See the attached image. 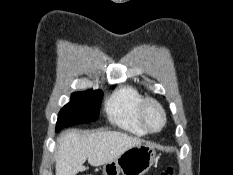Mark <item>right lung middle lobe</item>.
Here are the masks:
<instances>
[{
	"mask_svg": "<svg viewBox=\"0 0 233 175\" xmlns=\"http://www.w3.org/2000/svg\"><path fill=\"white\" fill-rule=\"evenodd\" d=\"M102 97L103 92L101 90L73 93L71 101L58 114L56 132L64 127L96 121L99 116Z\"/></svg>",
	"mask_w": 233,
	"mask_h": 175,
	"instance_id": "obj_1",
	"label": "right lung middle lobe"
}]
</instances>
